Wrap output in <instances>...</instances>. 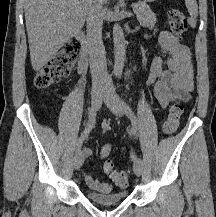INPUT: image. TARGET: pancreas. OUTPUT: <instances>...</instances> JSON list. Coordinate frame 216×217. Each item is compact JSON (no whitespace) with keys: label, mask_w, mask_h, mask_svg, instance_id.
Segmentation results:
<instances>
[{"label":"pancreas","mask_w":216,"mask_h":217,"mask_svg":"<svg viewBox=\"0 0 216 217\" xmlns=\"http://www.w3.org/2000/svg\"><path fill=\"white\" fill-rule=\"evenodd\" d=\"M135 6L134 12L140 25L144 28H154L157 18L150 7L143 2H139Z\"/></svg>","instance_id":"obj_1"}]
</instances>
